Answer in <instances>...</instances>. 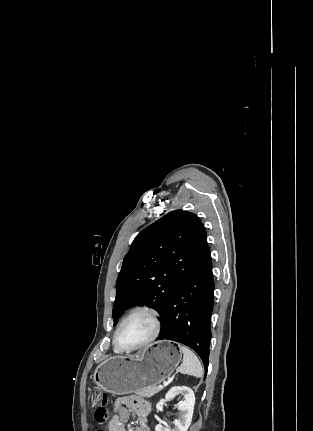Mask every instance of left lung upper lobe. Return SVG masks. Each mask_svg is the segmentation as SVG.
I'll return each instance as SVG.
<instances>
[{"label": "left lung upper lobe", "instance_id": "obj_1", "mask_svg": "<svg viewBox=\"0 0 313 431\" xmlns=\"http://www.w3.org/2000/svg\"><path fill=\"white\" fill-rule=\"evenodd\" d=\"M208 247L193 213L172 211L141 231L125 256L116 282L114 325L128 308L147 304L160 316Z\"/></svg>", "mask_w": 313, "mask_h": 431}]
</instances>
